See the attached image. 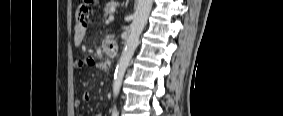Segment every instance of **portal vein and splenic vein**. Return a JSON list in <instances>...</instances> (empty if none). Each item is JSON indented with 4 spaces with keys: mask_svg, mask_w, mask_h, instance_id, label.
<instances>
[{
    "mask_svg": "<svg viewBox=\"0 0 283 116\" xmlns=\"http://www.w3.org/2000/svg\"><path fill=\"white\" fill-rule=\"evenodd\" d=\"M114 20V16H109V18H108V22H111V21H113Z\"/></svg>",
    "mask_w": 283,
    "mask_h": 116,
    "instance_id": "obj_1",
    "label": "portal vein and splenic vein"
}]
</instances>
